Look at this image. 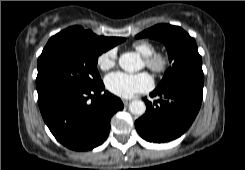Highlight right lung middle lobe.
Returning <instances> with one entry per match:
<instances>
[{
  "label": "right lung middle lobe",
  "mask_w": 245,
  "mask_h": 170,
  "mask_svg": "<svg viewBox=\"0 0 245 170\" xmlns=\"http://www.w3.org/2000/svg\"><path fill=\"white\" fill-rule=\"evenodd\" d=\"M107 48L66 35L51 37L38 58V101L69 90H89L100 84L98 56Z\"/></svg>",
  "instance_id": "obj_1"
}]
</instances>
